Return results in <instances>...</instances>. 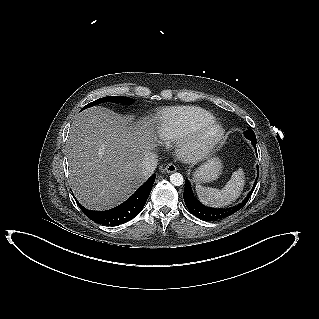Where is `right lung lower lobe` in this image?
<instances>
[{
    "label": "right lung lower lobe",
    "mask_w": 319,
    "mask_h": 319,
    "mask_svg": "<svg viewBox=\"0 0 319 319\" xmlns=\"http://www.w3.org/2000/svg\"><path fill=\"white\" fill-rule=\"evenodd\" d=\"M155 177L156 175L153 174L128 200L107 211H91L76 202L82 212L91 220L103 225H120L130 221L141 212L151 192Z\"/></svg>",
    "instance_id": "obj_1"
}]
</instances>
